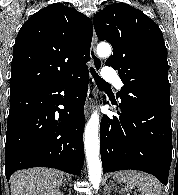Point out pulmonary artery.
Returning <instances> with one entry per match:
<instances>
[{"label":"pulmonary artery","instance_id":"e3ab8cb5","mask_svg":"<svg viewBox=\"0 0 178 195\" xmlns=\"http://www.w3.org/2000/svg\"><path fill=\"white\" fill-rule=\"evenodd\" d=\"M102 74L107 84H114L118 89L122 87V81L112 67H104Z\"/></svg>","mask_w":178,"mask_h":195}]
</instances>
